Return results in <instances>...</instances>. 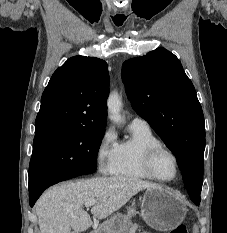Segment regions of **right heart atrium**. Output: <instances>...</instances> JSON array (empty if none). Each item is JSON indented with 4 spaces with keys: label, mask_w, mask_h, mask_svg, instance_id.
I'll return each instance as SVG.
<instances>
[{
    "label": "right heart atrium",
    "mask_w": 227,
    "mask_h": 233,
    "mask_svg": "<svg viewBox=\"0 0 227 233\" xmlns=\"http://www.w3.org/2000/svg\"><path fill=\"white\" fill-rule=\"evenodd\" d=\"M118 143L111 128H106L101 134L96 149L95 160L100 173L113 174L117 163Z\"/></svg>",
    "instance_id": "obj_1"
}]
</instances>
